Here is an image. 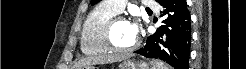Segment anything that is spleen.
Wrapping results in <instances>:
<instances>
[{"mask_svg":"<svg viewBox=\"0 0 246 69\" xmlns=\"http://www.w3.org/2000/svg\"><path fill=\"white\" fill-rule=\"evenodd\" d=\"M154 69H168L166 65H164V63L162 62H156Z\"/></svg>","mask_w":246,"mask_h":69,"instance_id":"3e777b00","label":"spleen"}]
</instances>
